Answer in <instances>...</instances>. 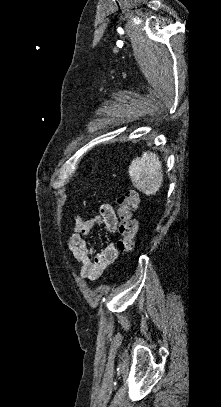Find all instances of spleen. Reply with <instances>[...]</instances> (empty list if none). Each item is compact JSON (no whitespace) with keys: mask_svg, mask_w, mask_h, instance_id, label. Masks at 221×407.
Listing matches in <instances>:
<instances>
[{"mask_svg":"<svg viewBox=\"0 0 221 407\" xmlns=\"http://www.w3.org/2000/svg\"><path fill=\"white\" fill-rule=\"evenodd\" d=\"M132 184L146 195H154L163 182L162 163L155 153L145 151L129 166Z\"/></svg>","mask_w":221,"mask_h":407,"instance_id":"spleen-1","label":"spleen"}]
</instances>
